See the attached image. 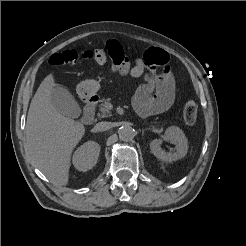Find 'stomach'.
Masks as SVG:
<instances>
[{
	"label": "stomach",
	"instance_id": "stomach-1",
	"mask_svg": "<svg viewBox=\"0 0 246 246\" xmlns=\"http://www.w3.org/2000/svg\"><path fill=\"white\" fill-rule=\"evenodd\" d=\"M100 89L98 81L93 79L84 80L77 86L78 93L83 97H91Z\"/></svg>",
	"mask_w": 246,
	"mask_h": 246
}]
</instances>
